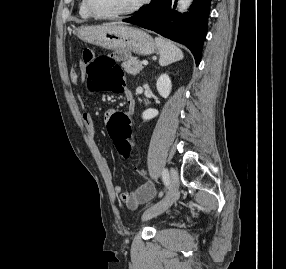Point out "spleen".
I'll list each match as a JSON object with an SVG mask.
<instances>
[{"mask_svg":"<svg viewBox=\"0 0 286 269\" xmlns=\"http://www.w3.org/2000/svg\"><path fill=\"white\" fill-rule=\"evenodd\" d=\"M155 42L160 54L159 64L161 66H167L183 59V52L171 41L162 37H156Z\"/></svg>","mask_w":286,"mask_h":269,"instance_id":"3e777b00","label":"spleen"}]
</instances>
